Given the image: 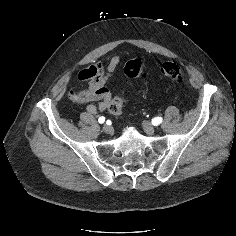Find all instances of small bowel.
I'll use <instances>...</instances> for the list:
<instances>
[{"mask_svg":"<svg viewBox=\"0 0 236 236\" xmlns=\"http://www.w3.org/2000/svg\"><path fill=\"white\" fill-rule=\"evenodd\" d=\"M120 62L121 58L114 55L106 67L101 62H96L80 71L79 80L88 82V89L82 91V95L90 102L87 106L89 114H96L108 108L112 95L105 85L116 72Z\"/></svg>","mask_w":236,"mask_h":236,"instance_id":"1","label":"small bowel"}]
</instances>
